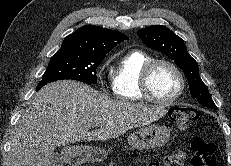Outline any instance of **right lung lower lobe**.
<instances>
[{"mask_svg": "<svg viewBox=\"0 0 231 166\" xmlns=\"http://www.w3.org/2000/svg\"><path fill=\"white\" fill-rule=\"evenodd\" d=\"M47 83L45 82H40L36 88V91L40 90L44 85H46Z\"/></svg>", "mask_w": 231, "mask_h": 166, "instance_id": "obj_1", "label": "right lung lower lobe"}]
</instances>
